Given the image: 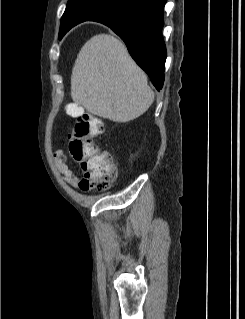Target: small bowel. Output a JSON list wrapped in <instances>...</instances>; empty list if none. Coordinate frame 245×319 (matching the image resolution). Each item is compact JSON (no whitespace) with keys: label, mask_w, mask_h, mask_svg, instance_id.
Instances as JSON below:
<instances>
[{"label":"small bowel","mask_w":245,"mask_h":319,"mask_svg":"<svg viewBox=\"0 0 245 319\" xmlns=\"http://www.w3.org/2000/svg\"><path fill=\"white\" fill-rule=\"evenodd\" d=\"M54 163L57 169L63 174L64 179L73 187L79 185V177L70 169L67 164L66 156L61 149H57L54 152Z\"/></svg>","instance_id":"small-bowel-1"}]
</instances>
